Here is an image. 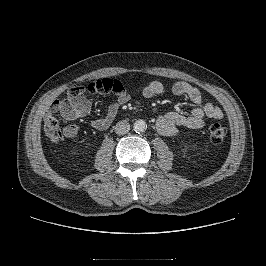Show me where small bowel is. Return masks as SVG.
I'll use <instances>...</instances> for the list:
<instances>
[{
  "instance_id": "small-bowel-1",
  "label": "small bowel",
  "mask_w": 266,
  "mask_h": 266,
  "mask_svg": "<svg viewBox=\"0 0 266 266\" xmlns=\"http://www.w3.org/2000/svg\"><path fill=\"white\" fill-rule=\"evenodd\" d=\"M163 92V84L159 81L150 82L143 89V96L151 98ZM172 93L175 96L187 97L192 103L189 114L179 112H168L161 115L156 122L157 130L160 134L174 137L177 136L181 128L197 130L205 125L206 118L219 119L223 116L221 109L212 102L203 103L200 91L191 84L184 81H177L172 86ZM130 96L123 90L118 94L117 100L109 105L105 115L94 119L91 124L97 130L107 129L115 119L121 105L128 102ZM51 109L58 111L65 121H73L87 116L91 110L90 101L83 95L76 97L68 94L64 100H56ZM79 133V128L75 125L64 127L62 135L54 132H47V136L53 143H58L62 137L71 138Z\"/></svg>"
}]
</instances>
